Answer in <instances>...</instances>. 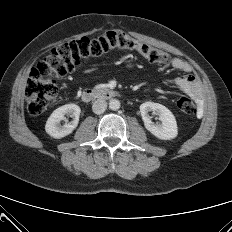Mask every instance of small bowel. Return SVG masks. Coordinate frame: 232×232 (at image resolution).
Here are the masks:
<instances>
[{
  "label": "small bowel",
  "instance_id": "small-bowel-1",
  "mask_svg": "<svg viewBox=\"0 0 232 232\" xmlns=\"http://www.w3.org/2000/svg\"><path fill=\"white\" fill-rule=\"evenodd\" d=\"M171 64L173 68L183 72L182 76L176 78V84L184 93L190 95L196 100L200 113L203 106V97L201 85L193 72V67L189 62L178 57L174 58Z\"/></svg>",
  "mask_w": 232,
  "mask_h": 232
}]
</instances>
